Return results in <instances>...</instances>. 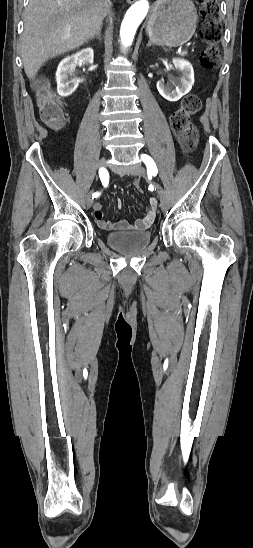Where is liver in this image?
<instances>
[{
  "mask_svg": "<svg viewBox=\"0 0 253 548\" xmlns=\"http://www.w3.org/2000/svg\"><path fill=\"white\" fill-rule=\"evenodd\" d=\"M108 0H29L21 56L33 79L48 59L82 46L102 27Z\"/></svg>",
  "mask_w": 253,
  "mask_h": 548,
  "instance_id": "6515ba94",
  "label": "liver"
}]
</instances>
